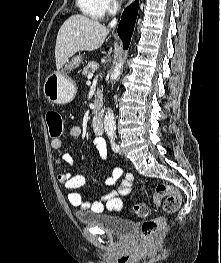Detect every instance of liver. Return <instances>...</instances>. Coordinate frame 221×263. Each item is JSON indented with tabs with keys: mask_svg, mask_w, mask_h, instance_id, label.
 Segmentation results:
<instances>
[{
	"mask_svg": "<svg viewBox=\"0 0 221 263\" xmlns=\"http://www.w3.org/2000/svg\"><path fill=\"white\" fill-rule=\"evenodd\" d=\"M109 28L83 15H72L60 27L55 46L56 66L61 69L78 51H93L104 43Z\"/></svg>",
	"mask_w": 221,
	"mask_h": 263,
	"instance_id": "6515ba94",
	"label": "liver"
}]
</instances>
